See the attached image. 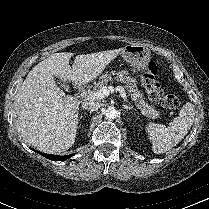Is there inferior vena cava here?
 I'll return each mask as SVG.
<instances>
[{"instance_id":"1","label":"inferior vena cava","mask_w":209,"mask_h":209,"mask_svg":"<svg viewBox=\"0 0 209 209\" xmlns=\"http://www.w3.org/2000/svg\"><path fill=\"white\" fill-rule=\"evenodd\" d=\"M82 107L86 110L97 111L101 107V105L94 102H83Z\"/></svg>"}]
</instances>
